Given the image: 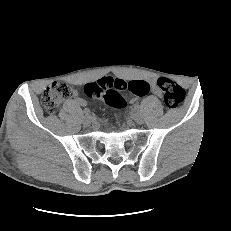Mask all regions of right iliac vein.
I'll return each mask as SVG.
<instances>
[{
	"label": "right iliac vein",
	"instance_id": "obj_1",
	"mask_svg": "<svg viewBox=\"0 0 231 231\" xmlns=\"http://www.w3.org/2000/svg\"><path fill=\"white\" fill-rule=\"evenodd\" d=\"M92 122H93L92 116L86 115V116L84 117V124H85V125H90Z\"/></svg>",
	"mask_w": 231,
	"mask_h": 231
}]
</instances>
